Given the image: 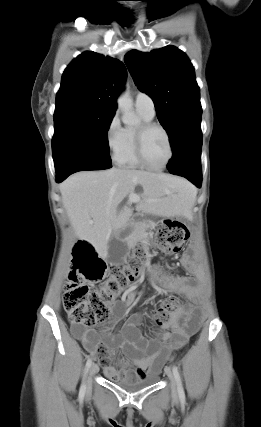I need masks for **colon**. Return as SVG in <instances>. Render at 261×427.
<instances>
[{"instance_id": "5ec220e1", "label": "colon", "mask_w": 261, "mask_h": 427, "mask_svg": "<svg viewBox=\"0 0 261 427\" xmlns=\"http://www.w3.org/2000/svg\"><path fill=\"white\" fill-rule=\"evenodd\" d=\"M188 237L184 224L166 221L157 228L154 247L166 254H176L183 249ZM144 253L138 247L123 264L109 268L92 244L78 242L73 250V267L63 299L70 323L90 327L107 320L111 303L140 277ZM100 281L103 283L99 288L90 286ZM178 307L176 298L163 300L155 313L156 321L160 325L166 323Z\"/></svg>"}]
</instances>
